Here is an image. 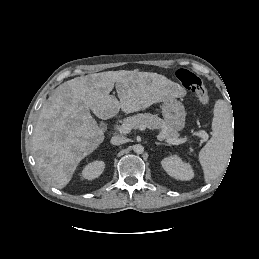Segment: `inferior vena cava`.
I'll list each match as a JSON object with an SVG mask.
<instances>
[{"instance_id":"obj_1","label":"inferior vena cava","mask_w":259,"mask_h":259,"mask_svg":"<svg viewBox=\"0 0 259 259\" xmlns=\"http://www.w3.org/2000/svg\"><path fill=\"white\" fill-rule=\"evenodd\" d=\"M111 144L113 145H121L127 142V139L123 136H113L111 138Z\"/></svg>"}]
</instances>
